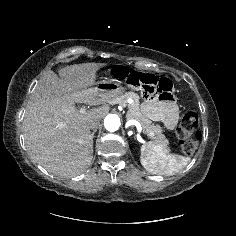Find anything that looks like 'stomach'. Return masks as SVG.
<instances>
[{
  "instance_id": "1",
  "label": "stomach",
  "mask_w": 236,
  "mask_h": 236,
  "mask_svg": "<svg viewBox=\"0 0 236 236\" xmlns=\"http://www.w3.org/2000/svg\"><path fill=\"white\" fill-rule=\"evenodd\" d=\"M95 88L107 99L111 100L120 96L126 89L117 80L109 79L98 82Z\"/></svg>"
}]
</instances>
